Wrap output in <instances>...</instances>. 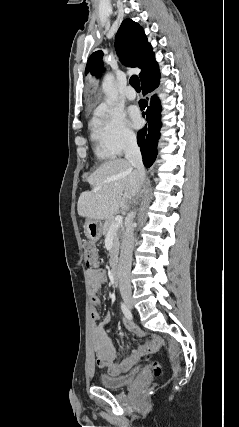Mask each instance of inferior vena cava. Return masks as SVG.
I'll return each instance as SVG.
<instances>
[{
    "label": "inferior vena cava",
    "mask_w": 239,
    "mask_h": 427,
    "mask_svg": "<svg viewBox=\"0 0 239 427\" xmlns=\"http://www.w3.org/2000/svg\"><path fill=\"white\" fill-rule=\"evenodd\" d=\"M125 158L129 161L131 166L135 169L136 173L139 175L141 184L145 178V169L143 166L142 156L140 148L137 144L135 136H129L125 142ZM135 217V212H132L129 215V220L126 225L125 233L122 237L121 243V252L118 264V278H119V288L120 291L131 290L130 283V271L132 263V252L134 248V227L133 219Z\"/></svg>",
    "instance_id": "obj_1"
}]
</instances>
